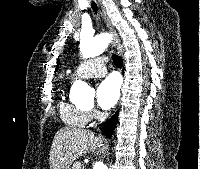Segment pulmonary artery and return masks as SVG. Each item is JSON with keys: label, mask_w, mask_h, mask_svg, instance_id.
<instances>
[{"label": "pulmonary artery", "mask_w": 200, "mask_h": 169, "mask_svg": "<svg viewBox=\"0 0 200 169\" xmlns=\"http://www.w3.org/2000/svg\"><path fill=\"white\" fill-rule=\"evenodd\" d=\"M107 72L103 57H95L80 63L74 70L72 78L101 77Z\"/></svg>", "instance_id": "e3ab8cb5"}]
</instances>
